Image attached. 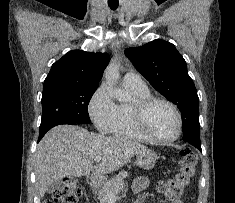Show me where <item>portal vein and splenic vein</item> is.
I'll return each instance as SVG.
<instances>
[{
	"label": "portal vein and splenic vein",
	"mask_w": 235,
	"mask_h": 203,
	"mask_svg": "<svg viewBox=\"0 0 235 203\" xmlns=\"http://www.w3.org/2000/svg\"><path fill=\"white\" fill-rule=\"evenodd\" d=\"M100 161H101V158H100V157L95 158V162H100ZM115 199H116V195L112 194V195L110 196V200H115Z\"/></svg>",
	"instance_id": "18ae733b"
}]
</instances>
